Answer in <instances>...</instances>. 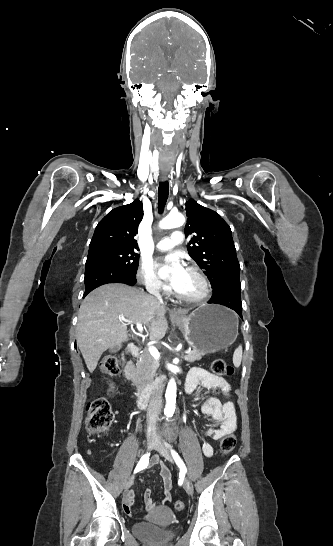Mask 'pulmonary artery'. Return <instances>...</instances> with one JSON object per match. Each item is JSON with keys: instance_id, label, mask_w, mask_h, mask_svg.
I'll use <instances>...</instances> for the list:
<instances>
[{"instance_id": "pulmonary-artery-1", "label": "pulmonary artery", "mask_w": 333, "mask_h": 546, "mask_svg": "<svg viewBox=\"0 0 333 546\" xmlns=\"http://www.w3.org/2000/svg\"><path fill=\"white\" fill-rule=\"evenodd\" d=\"M184 240V235L181 231H174L170 237L162 238L155 245L158 251H169L174 246L181 244Z\"/></svg>"}]
</instances>
